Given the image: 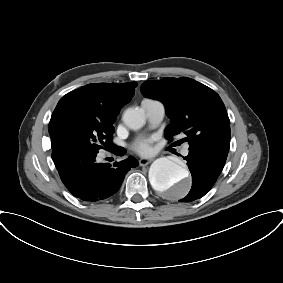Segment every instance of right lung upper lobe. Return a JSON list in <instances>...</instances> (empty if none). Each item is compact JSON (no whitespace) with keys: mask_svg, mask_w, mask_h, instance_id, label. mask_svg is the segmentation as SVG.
Segmentation results:
<instances>
[{"mask_svg":"<svg viewBox=\"0 0 283 283\" xmlns=\"http://www.w3.org/2000/svg\"><path fill=\"white\" fill-rule=\"evenodd\" d=\"M136 86V82L88 84L62 97L51 118L64 108L74 107L95 116L104 125L113 126L121 108L134 96Z\"/></svg>","mask_w":283,"mask_h":283,"instance_id":"right-lung-upper-lobe-1","label":"right lung upper lobe"}]
</instances>
